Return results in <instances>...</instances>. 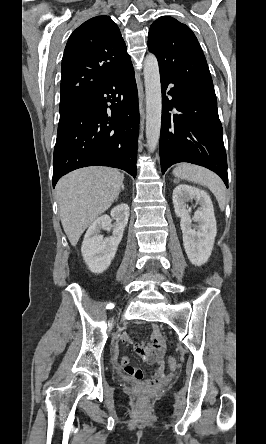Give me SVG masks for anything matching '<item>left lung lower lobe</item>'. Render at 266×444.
Returning a JSON list of instances; mask_svg holds the SVG:
<instances>
[{"label": "left lung lower lobe", "instance_id": "1", "mask_svg": "<svg viewBox=\"0 0 266 444\" xmlns=\"http://www.w3.org/2000/svg\"><path fill=\"white\" fill-rule=\"evenodd\" d=\"M160 78L162 173L172 164L189 162L214 171L228 187L227 157L213 83L181 81L161 70ZM170 83L173 86L167 91Z\"/></svg>", "mask_w": 266, "mask_h": 444}]
</instances>
